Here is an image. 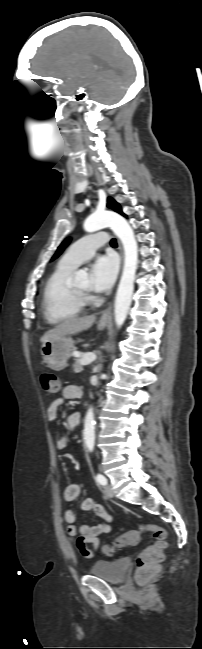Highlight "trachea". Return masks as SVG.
<instances>
[{
    "label": "trachea",
    "instance_id": "obj_1",
    "mask_svg": "<svg viewBox=\"0 0 202 649\" xmlns=\"http://www.w3.org/2000/svg\"><path fill=\"white\" fill-rule=\"evenodd\" d=\"M110 244L111 246H116L117 245L116 239H111Z\"/></svg>",
    "mask_w": 202,
    "mask_h": 649
}]
</instances>
